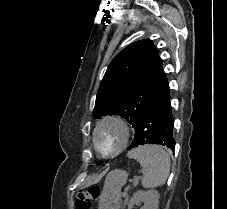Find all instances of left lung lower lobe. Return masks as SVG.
I'll return each mask as SVG.
<instances>
[{
    "instance_id": "obj_1",
    "label": "left lung lower lobe",
    "mask_w": 227,
    "mask_h": 209,
    "mask_svg": "<svg viewBox=\"0 0 227 209\" xmlns=\"http://www.w3.org/2000/svg\"><path fill=\"white\" fill-rule=\"evenodd\" d=\"M169 86L152 101L138 120L135 137L128 149L145 144H160L174 150L173 117Z\"/></svg>"
}]
</instances>
